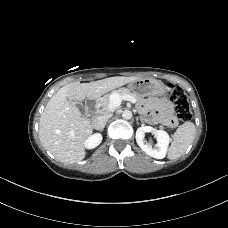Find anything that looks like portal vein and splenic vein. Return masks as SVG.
<instances>
[{"label": "portal vein and splenic vein", "instance_id": "portal-vein-and-splenic-vein-1", "mask_svg": "<svg viewBox=\"0 0 228 228\" xmlns=\"http://www.w3.org/2000/svg\"><path fill=\"white\" fill-rule=\"evenodd\" d=\"M123 100L130 101L131 103L136 102V99L131 95L125 94L121 96L119 94H114L111 96L110 103L107 106L106 111H114L118 106H120Z\"/></svg>", "mask_w": 228, "mask_h": 228}]
</instances>
